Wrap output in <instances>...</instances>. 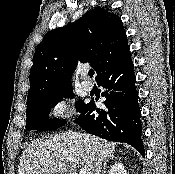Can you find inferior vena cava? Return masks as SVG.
<instances>
[{"instance_id":"inferior-vena-cava-1","label":"inferior vena cava","mask_w":175,"mask_h":174,"mask_svg":"<svg viewBox=\"0 0 175 174\" xmlns=\"http://www.w3.org/2000/svg\"><path fill=\"white\" fill-rule=\"evenodd\" d=\"M101 165H102V158L101 157L94 158V163L91 167L90 174H100Z\"/></svg>"}]
</instances>
